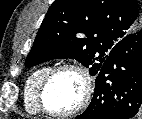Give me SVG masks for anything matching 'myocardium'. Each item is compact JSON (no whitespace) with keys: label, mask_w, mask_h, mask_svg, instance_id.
Returning a JSON list of instances; mask_svg holds the SVG:
<instances>
[{"label":"myocardium","mask_w":142,"mask_h":119,"mask_svg":"<svg viewBox=\"0 0 142 119\" xmlns=\"http://www.w3.org/2000/svg\"><path fill=\"white\" fill-rule=\"evenodd\" d=\"M66 70H71L78 74V76L80 77L82 81V93H81L79 102L72 109L65 112H55L47 108L45 104V100H44L45 90L49 82L57 73L66 71ZM93 91H94L93 78L91 74L89 73V71L87 70V68L77 63H72V62L62 63L51 68L42 79L37 91V104L40 111H42L43 113L49 116L71 117L78 114L79 112H81L83 109H85L88 106L92 98Z\"/></svg>","instance_id":"f54148a6"}]
</instances>
